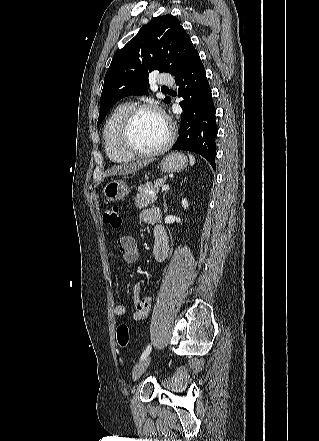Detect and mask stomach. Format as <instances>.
Here are the masks:
<instances>
[{
  "label": "stomach",
  "mask_w": 319,
  "mask_h": 441,
  "mask_svg": "<svg viewBox=\"0 0 319 441\" xmlns=\"http://www.w3.org/2000/svg\"><path fill=\"white\" fill-rule=\"evenodd\" d=\"M186 164V156L177 152L166 156L161 161L160 168L163 172L167 173L179 172L186 167ZM102 193L107 200L117 201L123 199L129 193V188L123 178L115 179L104 186Z\"/></svg>",
  "instance_id": "0dacf381"
}]
</instances>
